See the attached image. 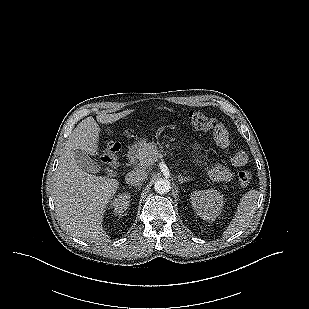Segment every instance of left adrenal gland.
<instances>
[{
    "instance_id": "obj_1",
    "label": "left adrenal gland",
    "mask_w": 309,
    "mask_h": 309,
    "mask_svg": "<svg viewBox=\"0 0 309 309\" xmlns=\"http://www.w3.org/2000/svg\"><path fill=\"white\" fill-rule=\"evenodd\" d=\"M190 180L191 179L189 177H183L182 175L178 176V181H179L180 184L187 182V181H190Z\"/></svg>"
}]
</instances>
